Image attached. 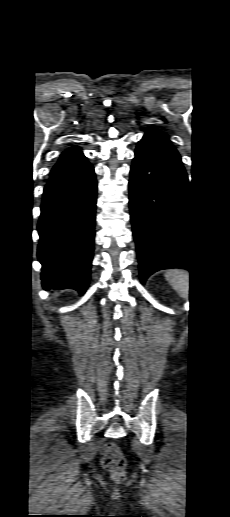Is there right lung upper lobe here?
Here are the masks:
<instances>
[{"label":"right lung upper lobe","instance_id":"cb5924a9","mask_svg":"<svg viewBox=\"0 0 230 517\" xmlns=\"http://www.w3.org/2000/svg\"><path fill=\"white\" fill-rule=\"evenodd\" d=\"M85 163H87L86 157L83 155L80 149L70 148L61 154L59 161L51 171L50 179L68 174L78 169Z\"/></svg>","mask_w":230,"mask_h":517}]
</instances>
